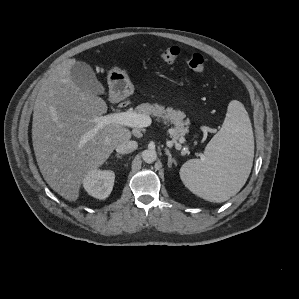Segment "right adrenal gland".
I'll return each mask as SVG.
<instances>
[{
  "label": "right adrenal gland",
  "instance_id": "2a0ac1e0",
  "mask_svg": "<svg viewBox=\"0 0 299 299\" xmlns=\"http://www.w3.org/2000/svg\"><path fill=\"white\" fill-rule=\"evenodd\" d=\"M115 157L119 158V159H122V156L119 155V154H116Z\"/></svg>",
  "mask_w": 299,
  "mask_h": 299
}]
</instances>
